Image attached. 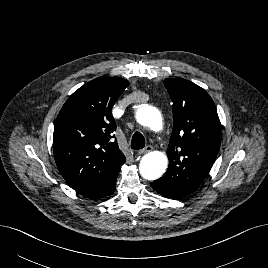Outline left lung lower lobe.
Returning <instances> with one entry per match:
<instances>
[{
  "instance_id": "1",
  "label": "left lung lower lobe",
  "mask_w": 268,
  "mask_h": 268,
  "mask_svg": "<svg viewBox=\"0 0 268 268\" xmlns=\"http://www.w3.org/2000/svg\"><path fill=\"white\" fill-rule=\"evenodd\" d=\"M151 186H152V188H153L155 191H157L159 194H161V195H163V196H165V197L173 198V199H179V198H181V197H178V196H176L175 194H172V193H170V192H168V191H166V190H163V189H161V188H158V187H156V186H153L152 184H151Z\"/></svg>"
}]
</instances>
